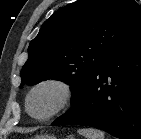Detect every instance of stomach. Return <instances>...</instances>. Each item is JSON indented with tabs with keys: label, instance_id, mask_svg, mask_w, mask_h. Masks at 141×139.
<instances>
[{
	"label": "stomach",
	"instance_id": "obj_1",
	"mask_svg": "<svg viewBox=\"0 0 141 139\" xmlns=\"http://www.w3.org/2000/svg\"><path fill=\"white\" fill-rule=\"evenodd\" d=\"M35 139H56L54 136H49V135H41L35 137ZM67 139H75L72 135L68 136Z\"/></svg>",
	"mask_w": 141,
	"mask_h": 139
}]
</instances>
